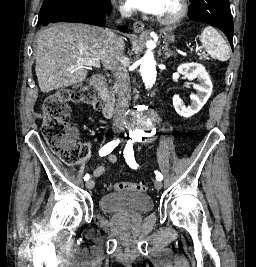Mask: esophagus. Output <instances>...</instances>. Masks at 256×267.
Masks as SVG:
<instances>
[{"instance_id": "34e87169", "label": "esophagus", "mask_w": 256, "mask_h": 267, "mask_svg": "<svg viewBox=\"0 0 256 267\" xmlns=\"http://www.w3.org/2000/svg\"><path fill=\"white\" fill-rule=\"evenodd\" d=\"M133 29L135 33H141L144 30V23L140 21L134 22Z\"/></svg>"}]
</instances>
